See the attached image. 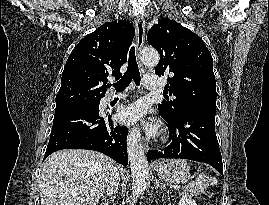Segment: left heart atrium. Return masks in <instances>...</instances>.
I'll list each match as a JSON object with an SVG mask.
<instances>
[{
    "label": "left heart atrium",
    "mask_w": 269,
    "mask_h": 205,
    "mask_svg": "<svg viewBox=\"0 0 269 205\" xmlns=\"http://www.w3.org/2000/svg\"><path fill=\"white\" fill-rule=\"evenodd\" d=\"M146 110V105L137 101L124 107L119 113V119L123 123L134 124L143 120Z\"/></svg>",
    "instance_id": "left-heart-atrium-1"
}]
</instances>
